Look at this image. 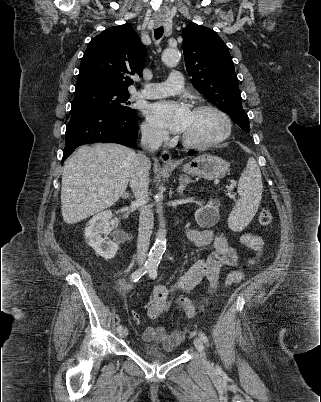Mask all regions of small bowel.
I'll return each mask as SVG.
<instances>
[{"instance_id": "c3829d8e", "label": "small bowel", "mask_w": 321, "mask_h": 402, "mask_svg": "<svg viewBox=\"0 0 321 402\" xmlns=\"http://www.w3.org/2000/svg\"><path fill=\"white\" fill-rule=\"evenodd\" d=\"M187 237L196 246L212 244L214 250L206 257L196 260L188 270L181 274L178 279L170 286L156 285L153 288L152 299L147 307V315L150 319H159L170 307L176 306L185 317L195 316L193 302L189 298L177 297L171 299V295L192 289L202 279L206 278L210 282L212 290L219 286V273L222 267L235 266L238 262L236 251L230 247L227 238L220 233L212 230H200L190 228L187 230ZM240 242L255 252V257L251 259V264H256L263 250V239L254 233H244L240 237ZM244 275L238 271H232L226 278V284H236L243 280ZM133 288V284L122 279L120 290L123 292ZM185 337V333L176 330L168 333L162 326H148L144 329L143 339L146 342H156L165 349H172L180 345Z\"/></svg>"}]
</instances>
